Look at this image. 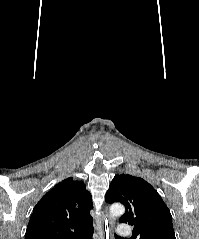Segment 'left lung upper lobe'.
Segmentation results:
<instances>
[{
    "instance_id": "1",
    "label": "left lung upper lobe",
    "mask_w": 199,
    "mask_h": 239,
    "mask_svg": "<svg viewBox=\"0 0 199 239\" xmlns=\"http://www.w3.org/2000/svg\"><path fill=\"white\" fill-rule=\"evenodd\" d=\"M105 200L125 205L126 212L120 222L134 225L133 239H176L168 207L158 192L142 178L116 175Z\"/></svg>"
}]
</instances>
